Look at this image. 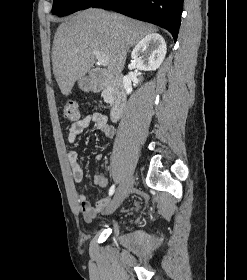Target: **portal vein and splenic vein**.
Wrapping results in <instances>:
<instances>
[{"mask_svg":"<svg viewBox=\"0 0 247 280\" xmlns=\"http://www.w3.org/2000/svg\"><path fill=\"white\" fill-rule=\"evenodd\" d=\"M97 61L103 65V66H107L109 64V57L106 55H103L101 53H99L98 51H94L93 52Z\"/></svg>","mask_w":247,"mask_h":280,"instance_id":"portal-vein-and-splenic-vein-1","label":"portal vein and splenic vein"}]
</instances>
